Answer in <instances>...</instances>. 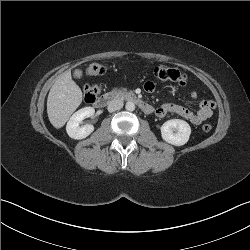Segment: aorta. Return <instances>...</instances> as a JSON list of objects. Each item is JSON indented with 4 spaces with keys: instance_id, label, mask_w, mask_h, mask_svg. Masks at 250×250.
<instances>
[{
    "instance_id": "obj_1",
    "label": "aorta",
    "mask_w": 250,
    "mask_h": 250,
    "mask_svg": "<svg viewBox=\"0 0 250 250\" xmlns=\"http://www.w3.org/2000/svg\"><path fill=\"white\" fill-rule=\"evenodd\" d=\"M126 110L128 111H134L135 110V104L132 101H128L125 105Z\"/></svg>"
}]
</instances>
